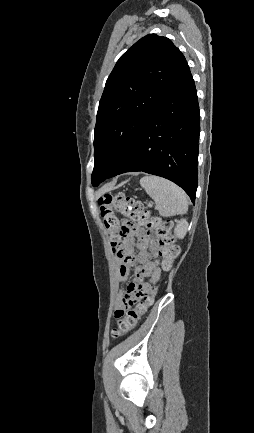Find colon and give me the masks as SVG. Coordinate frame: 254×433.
<instances>
[{
    "mask_svg": "<svg viewBox=\"0 0 254 433\" xmlns=\"http://www.w3.org/2000/svg\"><path fill=\"white\" fill-rule=\"evenodd\" d=\"M98 204L115 255L122 257L126 254L127 236L130 232L137 233L145 228L148 232L154 230L159 238L162 267L165 270L172 267L180 250L171 233V222H162L160 218L152 216L141 202L123 194H104L99 198ZM116 214H120L124 221H119ZM150 303L137 301L132 296L126 297L124 305L115 312L116 326L112 330V336L119 337L131 332ZM133 305L136 306L133 308Z\"/></svg>",
    "mask_w": 254,
    "mask_h": 433,
    "instance_id": "5ec220e1",
    "label": "colon"
}]
</instances>
